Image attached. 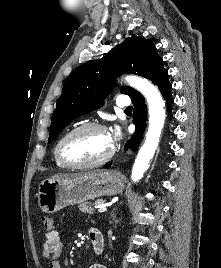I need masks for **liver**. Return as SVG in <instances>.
Here are the masks:
<instances>
[{"mask_svg":"<svg viewBox=\"0 0 221 268\" xmlns=\"http://www.w3.org/2000/svg\"><path fill=\"white\" fill-rule=\"evenodd\" d=\"M103 171L101 170H97V171H92V172H88V173H83V174H74V175H70V174H55L53 175L50 179L52 180H62V179H76V178H80L83 176H87V177H94L100 173H102Z\"/></svg>","mask_w":221,"mask_h":268,"instance_id":"liver-1","label":"liver"}]
</instances>
